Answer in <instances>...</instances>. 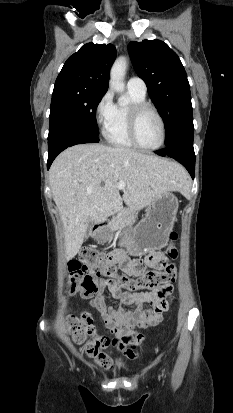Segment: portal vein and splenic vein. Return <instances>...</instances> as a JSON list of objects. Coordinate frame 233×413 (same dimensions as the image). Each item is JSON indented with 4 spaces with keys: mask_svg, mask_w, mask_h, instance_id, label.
<instances>
[{
    "mask_svg": "<svg viewBox=\"0 0 233 413\" xmlns=\"http://www.w3.org/2000/svg\"><path fill=\"white\" fill-rule=\"evenodd\" d=\"M125 182L124 181H119V183H118V185H117V188L119 189V190H124L125 189Z\"/></svg>",
    "mask_w": 233,
    "mask_h": 413,
    "instance_id": "portal-vein-and-splenic-vein-1",
    "label": "portal vein and splenic vein"
}]
</instances>
